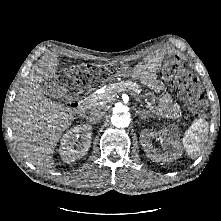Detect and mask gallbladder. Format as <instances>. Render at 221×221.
Segmentation results:
<instances>
[{"label":"gallbladder","instance_id":"obj_1","mask_svg":"<svg viewBox=\"0 0 221 221\" xmlns=\"http://www.w3.org/2000/svg\"><path fill=\"white\" fill-rule=\"evenodd\" d=\"M42 90L46 94V96L58 99L61 96L64 87L60 85L59 81L56 79H50L45 81L42 85Z\"/></svg>","mask_w":221,"mask_h":221}]
</instances>
